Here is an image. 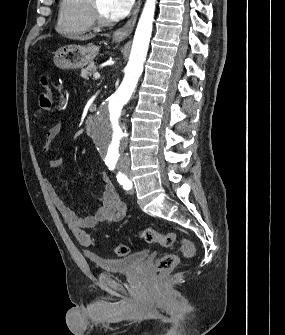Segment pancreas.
Instances as JSON below:
<instances>
[{"label":"pancreas","instance_id":"cf45deb5","mask_svg":"<svg viewBox=\"0 0 285 335\" xmlns=\"http://www.w3.org/2000/svg\"><path fill=\"white\" fill-rule=\"evenodd\" d=\"M98 68L95 66V64H90V66H87V68H84V70H81L82 74L81 76H84L85 79H88L91 77V72H97Z\"/></svg>","mask_w":285,"mask_h":335}]
</instances>
